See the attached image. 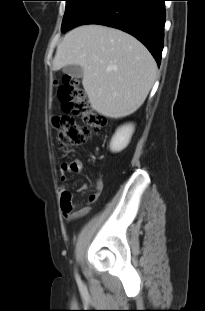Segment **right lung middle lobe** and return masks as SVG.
Segmentation results:
<instances>
[{
  "instance_id": "dd1d6c3e",
  "label": "right lung middle lobe",
  "mask_w": 205,
  "mask_h": 311,
  "mask_svg": "<svg viewBox=\"0 0 205 311\" xmlns=\"http://www.w3.org/2000/svg\"><path fill=\"white\" fill-rule=\"evenodd\" d=\"M66 10L64 14V19L62 23V32H65L71 28L76 19L81 15V13L86 8L90 0H65Z\"/></svg>"
}]
</instances>
